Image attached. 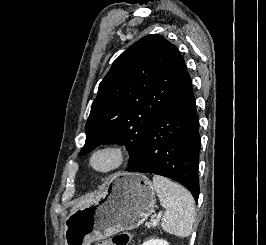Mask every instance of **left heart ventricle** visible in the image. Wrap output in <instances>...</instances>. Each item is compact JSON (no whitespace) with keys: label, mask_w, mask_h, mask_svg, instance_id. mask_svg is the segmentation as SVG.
<instances>
[{"label":"left heart ventricle","mask_w":266,"mask_h":245,"mask_svg":"<svg viewBox=\"0 0 266 245\" xmlns=\"http://www.w3.org/2000/svg\"><path fill=\"white\" fill-rule=\"evenodd\" d=\"M114 161H115V156L113 153L104 152V153L99 154L95 158L94 164L96 167H98L100 169H106V168H109L110 166H112Z\"/></svg>","instance_id":"obj_1"}]
</instances>
